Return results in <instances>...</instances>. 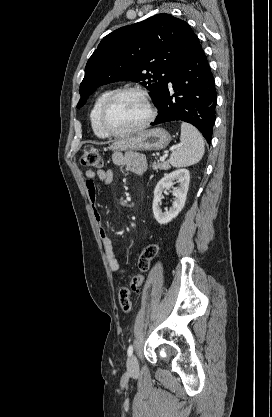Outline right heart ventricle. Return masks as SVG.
Returning <instances> with one entry per match:
<instances>
[{"mask_svg": "<svg viewBox=\"0 0 272 417\" xmlns=\"http://www.w3.org/2000/svg\"><path fill=\"white\" fill-rule=\"evenodd\" d=\"M113 91L111 89H107L102 91L95 99L93 106L90 111V122L91 127L94 132V134L99 138H106L107 135L104 134L102 131L100 124H99V113L100 109L106 100V98L112 93Z\"/></svg>", "mask_w": 272, "mask_h": 417, "instance_id": "1", "label": "right heart ventricle"}]
</instances>
